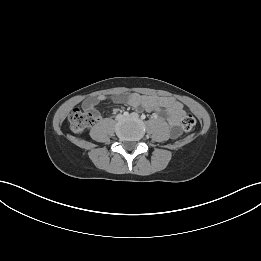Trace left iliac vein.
I'll return each mask as SVG.
<instances>
[{
	"instance_id": "4c4485c4",
	"label": "left iliac vein",
	"mask_w": 261,
	"mask_h": 261,
	"mask_svg": "<svg viewBox=\"0 0 261 261\" xmlns=\"http://www.w3.org/2000/svg\"><path fill=\"white\" fill-rule=\"evenodd\" d=\"M127 117L133 118V119H138L139 115L137 113H131L130 115H128Z\"/></svg>"
}]
</instances>
